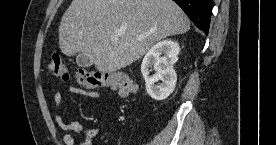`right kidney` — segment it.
Instances as JSON below:
<instances>
[{
	"mask_svg": "<svg viewBox=\"0 0 276 145\" xmlns=\"http://www.w3.org/2000/svg\"><path fill=\"white\" fill-rule=\"evenodd\" d=\"M179 52L180 47L177 42L163 40L146 53L141 64V72L146 83L147 93L154 100H165L174 91L177 81L174 64L178 60ZM152 66L156 73L150 76L149 68ZM159 80L162 83L155 85Z\"/></svg>",
	"mask_w": 276,
	"mask_h": 145,
	"instance_id": "right-kidney-1",
	"label": "right kidney"
}]
</instances>
